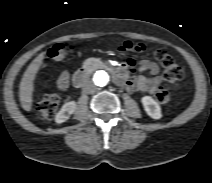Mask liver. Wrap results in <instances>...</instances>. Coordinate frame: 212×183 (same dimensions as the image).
Masks as SVG:
<instances>
[{
	"instance_id": "obj_1",
	"label": "liver",
	"mask_w": 212,
	"mask_h": 183,
	"mask_svg": "<svg viewBox=\"0 0 212 183\" xmlns=\"http://www.w3.org/2000/svg\"><path fill=\"white\" fill-rule=\"evenodd\" d=\"M44 59V53L38 55L28 66L20 82L19 97L24 110L30 111L32 108V96L34 92V80Z\"/></svg>"
}]
</instances>
